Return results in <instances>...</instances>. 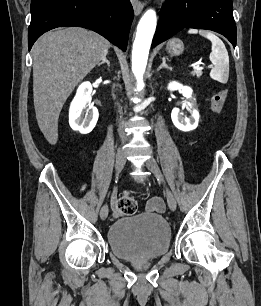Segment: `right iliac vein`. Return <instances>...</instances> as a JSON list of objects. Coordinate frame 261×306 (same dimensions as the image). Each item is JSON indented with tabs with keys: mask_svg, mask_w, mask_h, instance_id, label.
<instances>
[{
	"mask_svg": "<svg viewBox=\"0 0 261 306\" xmlns=\"http://www.w3.org/2000/svg\"><path fill=\"white\" fill-rule=\"evenodd\" d=\"M126 159H125V153L122 149H119L116 154V163H115V168H116V174L119 175V173L122 171L124 165H125ZM108 206L105 204L102 206L100 210V218L102 220H105L108 216Z\"/></svg>",
	"mask_w": 261,
	"mask_h": 306,
	"instance_id": "63e3f726",
	"label": "right iliac vein"
}]
</instances>
